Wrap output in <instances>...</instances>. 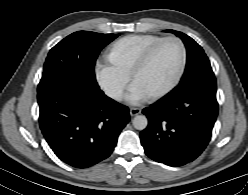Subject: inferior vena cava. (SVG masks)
Returning a JSON list of instances; mask_svg holds the SVG:
<instances>
[{
  "instance_id": "1",
  "label": "inferior vena cava",
  "mask_w": 248,
  "mask_h": 195,
  "mask_svg": "<svg viewBox=\"0 0 248 195\" xmlns=\"http://www.w3.org/2000/svg\"><path fill=\"white\" fill-rule=\"evenodd\" d=\"M106 94H107V96H109L115 100H119L122 97V92L120 90H115V89L108 90Z\"/></svg>"
}]
</instances>
